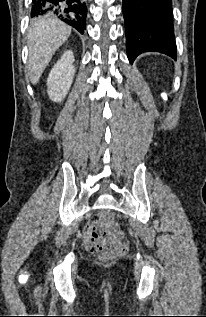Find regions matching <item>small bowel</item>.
Returning a JSON list of instances; mask_svg holds the SVG:
<instances>
[{
	"label": "small bowel",
	"mask_w": 206,
	"mask_h": 317,
	"mask_svg": "<svg viewBox=\"0 0 206 317\" xmlns=\"http://www.w3.org/2000/svg\"><path fill=\"white\" fill-rule=\"evenodd\" d=\"M98 224V218L95 217L92 220H90L84 230H83V239L85 241V243H87L88 239L90 238L91 234L95 231L96 226Z\"/></svg>",
	"instance_id": "small-bowel-1"
}]
</instances>
